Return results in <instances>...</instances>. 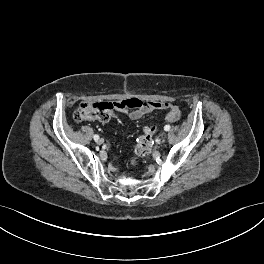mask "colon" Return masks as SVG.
I'll return each instance as SVG.
<instances>
[{
	"label": "colon",
	"instance_id": "colon-1",
	"mask_svg": "<svg viewBox=\"0 0 264 264\" xmlns=\"http://www.w3.org/2000/svg\"><path fill=\"white\" fill-rule=\"evenodd\" d=\"M127 100L118 102H87L79 105L74 113V120L82 122L86 120H98L105 122L109 120L116 109L129 106ZM156 132V127L152 124H147L143 129V134L138 138L135 152L138 156L144 157L152 149L153 137ZM135 162H132V166Z\"/></svg>",
	"mask_w": 264,
	"mask_h": 264
}]
</instances>
